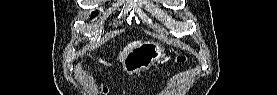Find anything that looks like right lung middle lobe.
<instances>
[{
  "instance_id": "1",
  "label": "right lung middle lobe",
  "mask_w": 277,
  "mask_h": 95,
  "mask_svg": "<svg viewBox=\"0 0 277 95\" xmlns=\"http://www.w3.org/2000/svg\"><path fill=\"white\" fill-rule=\"evenodd\" d=\"M98 14V12L96 11V12H94L93 14H92V17L93 16H96Z\"/></svg>"
}]
</instances>
